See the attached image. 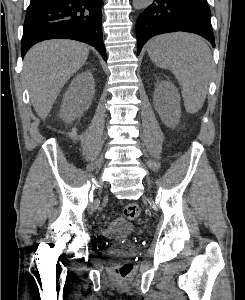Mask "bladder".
I'll use <instances>...</instances> for the list:
<instances>
[{
    "label": "bladder",
    "instance_id": "31cf9c89",
    "mask_svg": "<svg viewBox=\"0 0 245 300\" xmlns=\"http://www.w3.org/2000/svg\"><path fill=\"white\" fill-rule=\"evenodd\" d=\"M136 232V226L123 219L110 221L103 230L104 238L108 240H122Z\"/></svg>",
    "mask_w": 245,
    "mask_h": 300
}]
</instances>
